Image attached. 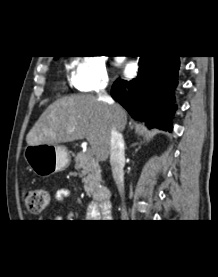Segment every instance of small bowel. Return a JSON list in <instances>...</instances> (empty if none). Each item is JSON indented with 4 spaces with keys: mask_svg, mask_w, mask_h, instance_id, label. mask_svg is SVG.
<instances>
[{
    "mask_svg": "<svg viewBox=\"0 0 218 277\" xmlns=\"http://www.w3.org/2000/svg\"><path fill=\"white\" fill-rule=\"evenodd\" d=\"M70 197L71 192L68 189H60L55 194V201L58 205H61ZM87 216L90 219H97L101 217V213L95 205L89 204L87 208Z\"/></svg>",
    "mask_w": 218,
    "mask_h": 277,
    "instance_id": "small-bowel-1",
    "label": "small bowel"
}]
</instances>
